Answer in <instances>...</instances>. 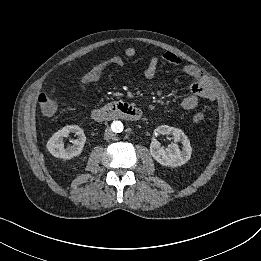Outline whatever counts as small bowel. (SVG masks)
Segmentation results:
<instances>
[{
    "instance_id": "c3829d8e",
    "label": "small bowel",
    "mask_w": 261,
    "mask_h": 261,
    "mask_svg": "<svg viewBox=\"0 0 261 261\" xmlns=\"http://www.w3.org/2000/svg\"><path fill=\"white\" fill-rule=\"evenodd\" d=\"M136 55V50L133 47H128L125 50V56L127 58H132ZM162 58L174 65H182V61L179 57H177L175 54L167 52L165 53ZM160 63V57L158 55H152L150 56V58L148 59V63L147 66L145 68L144 71V75L145 77L156 83V84H160L164 87H172L173 86V81L170 79H161L158 76V66ZM125 64V61L122 57L120 56H114L112 57L110 60L102 62L100 64H98L97 66L93 67L92 69H90L89 71H87L86 74H84L81 78V83H80V88L82 91L85 90V85L86 84H90L94 81H96L99 77H101V75L107 70V68L111 65H120L123 66ZM183 70L186 74H188L189 76L194 78L195 80H198L203 74L202 70L200 68H198L197 66L194 65H185L183 67ZM193 81V82H194ZM192 82V83H193ZM214 97V91L212 87H209L208 90H206L203 93H199V94H189L188 96H186L181 103V106L184 110H192L195 107H197V105L199 104V100L200 98H207V99H211Z\"/></svg>"
}]
</instances>
